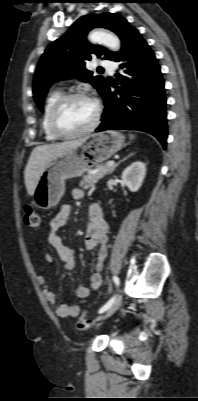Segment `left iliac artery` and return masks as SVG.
<instances>
[{"label":"left iliac artery","instance_id":"obj_1","mask_svg":"<svg viewBox=\"0 0 198 401\" xmlns=\"http://www.w3.org/2000/svg\"><path fill=\"white\" fill-rule=\"evenodd\" d=\"M112 279H113L115 285L118 287V286H119V283H120V282H119V278H118L117 276H113ZM114 300H115V296L112 297L104 306H102V307L99 309V313L105 312V311L113 304Z\"/></svg>","mask_w":198,"mask_h":401}]
</instances>
